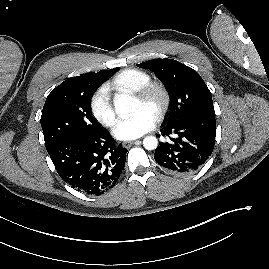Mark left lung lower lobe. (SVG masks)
I'll return each instance as SVG.
<instances>
[{
    "mask_svg": "<svg viewBox=\"0 0 269 269\" xmlns=\"http://www.w3.org/2000/svg\"><path fill=\"white\" fill-rule=\"evenodd\" d=\"M161 134L170 140L160 142L155 161L171 173L191 174L203 167L213 152L216 120L211 116L186 118L167 124Z\"/></svg>",
    "mask_w": 269,
    "mask_h": 269,
    "instance_id": "left-lung-lower-lobe-1",
    "label": "left lung lower lobe"
}]
</instances>
